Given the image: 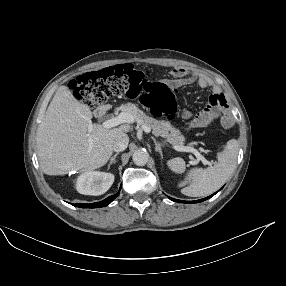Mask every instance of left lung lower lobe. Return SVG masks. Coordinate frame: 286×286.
I'll use <instances>...</instances> for the list:
<instances>
[{"label": "left lung lower lobe", "instance_id": "1", "mask_svg": "<svg viewBox=\"0 0 286 286\" xmlns=\"http://www.w3.org/2000/svg\"><path fill=\"white\" fill-rule=\"evenodd\" d=\"M217 193V192H216ZM216 193L212 194L211 196L209 197H206L204 199H200V200H197V201H181V200H177V199H173V198H170L172 201H175V202H180V203H197V202H201V201H204L206 199H209L210 197H212L213 195H215Z\"/></svg>", "mask_w": 286, "mask_h": 286}]
</instances>
